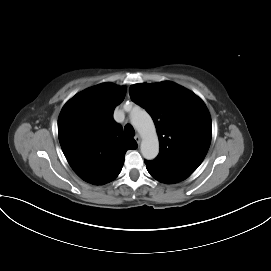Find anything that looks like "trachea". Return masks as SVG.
Here are the masks:
<instances>
[{
  "mask_svg": "<svg viewBox=\"0 0 271 271\" xmlns=\"http://www.w3.org/2000/svg\"><path fill=\"white\" fill-rule=\"evenodd\" d=\"M124 131L127 135L129 136H134L135 135V131H134V128L130 125V124H127L125 127H124Z\"/></svg>",
  "mask_w": 271,
  "mask_h": 271,
  "instance_id": "1",
  "label": "trachea"
}]
</instances>
